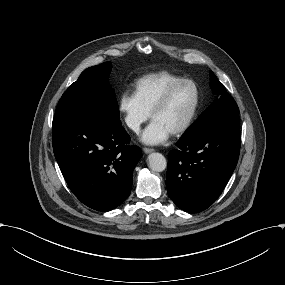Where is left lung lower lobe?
Masks as SVG:
<instances>
[{
	"instance_id": "0a47b994",
	"label": "left lung lower lobe",
	"mask_w": 285,
	"mask_h": 285,
	"mask_svg": "<svg viewBox=\"0 0 285 285\" xmlns=\"http://www.w3.org/2000/svg\"><path fill=\"white\" fill-rule=\"evenodd\" d=\"M239 125V114L213 119L169 153L167 192L180 209L201 212L221 195L238 162Z\"/></svg>"
}]
</instances>
